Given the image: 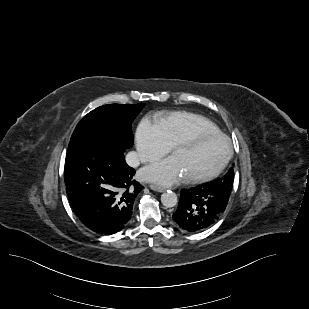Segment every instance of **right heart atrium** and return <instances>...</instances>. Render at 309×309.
<instances>
[{"mask_svg": "<svg viewBox=\"0 0 309 309\" xmlns=\"http://www.w3.org/2000/svg\"><path fill=\"white\" fill-rule=\"evenodd\" d=\"M136 154L141 163L158 160L171 149L160 126L148 118L142 119L136 129Z\"/></svg>", "mask_w": 309, "mask_h": 309, "instance_id": "obj_1", "label": "right heart atrium"}]
</instances>
